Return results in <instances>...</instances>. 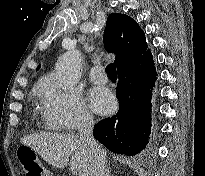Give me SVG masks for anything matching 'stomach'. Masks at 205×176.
I'll return each instance as SVG.
<instances>
[{"instance_id":"1","label":"stomach","mask_w":205,"mask_h":176,"mask_svg":"<svg viewBox=\"0 0 205 176\" xmlns=\"http://www.w3.org/2000/svg\"><path fill=\"white\" fill-rule=\"evenodd\" d=\"M26 149L30 150V151H33L30 147L28 146H24Z\"/></svg>"}]
</instances>
